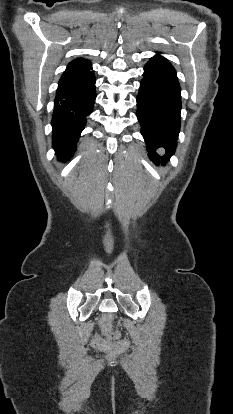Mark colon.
Returning <instances> with one entry per match:
<instances>
[{"mask_svg": "<svg viewBox=\"0 0 233 414\" xmlns=\"http://www.w3.org/2000/svg\"><path fill=\"white\" fill-rule=\"evenodd\" d=\"M103 334L95 337L93 345L95 348L105 352H115L119 349L118 345L112 344L109 340L118 339L120 333L112 331V315L107 314L101 321Z\"/></svg>", "mask_w": 233, "mask_h": 414, "instance_id": "1", "label": "colon"}]
</instances>
